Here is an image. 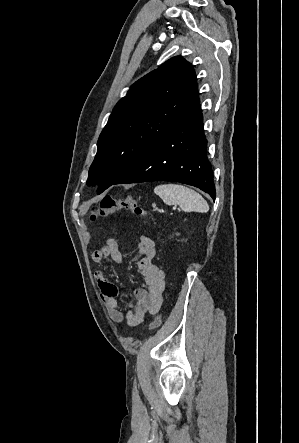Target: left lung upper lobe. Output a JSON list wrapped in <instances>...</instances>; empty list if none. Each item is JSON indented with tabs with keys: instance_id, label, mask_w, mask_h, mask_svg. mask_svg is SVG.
Wrapping results in <instances>:
<instances>
[{
	"instance_id": "left-lung-upper-lobe-1",
	"label": "left lung upper lobe",
	"mask_w": 299,
	"mask_h": 443,
	"mask_svg": "<svg viewBox=\"0 0 299 443\" xmlns=\"http://www.w3.org/2000/svg\"><path fill=\"white\" fill-rule=\"evenodd\" d=\"M198 103L195 71L180 56L138 80L100 134L87 183H98L102 193Z\"/></svg>"
}]
</instances>
